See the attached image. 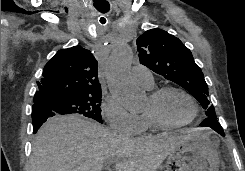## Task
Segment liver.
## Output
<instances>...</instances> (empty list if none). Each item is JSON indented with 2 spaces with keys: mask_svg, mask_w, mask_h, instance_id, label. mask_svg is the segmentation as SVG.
I'll use <instances>...</instances> for the list:
<instances>
[{
  "mask_svg": "<svg viewBox=\"0 0 245 171\" xmlns=\"http://www.w3.org/2000/svg\"><path fill=\"white\" fill-rule=\"evenodd\" d=\"M190 135L162 133L126 138L78 115L56 116L38 131L30 171H102L115 159V171H156Z\"/></svg>",
  "mask_w": 245,
  "mask_h": 171,
  "instance_id": "liver-1",
  "label": "liver"
}]
</instances>
